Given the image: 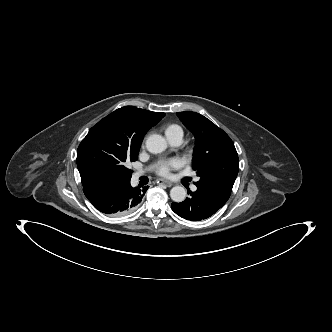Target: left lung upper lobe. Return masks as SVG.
<instances>
[{
  "instance_id": "left-lung-upper-lobe-1",
  "label": "left lung upper lobe",
  "mask_w": 332,
  "mask_h": 332,
  "mask_svg": "<svg viewBox=\"0 0 332 332\" xmlns=\"http://www.w3.org/2000/svg\"><path fill=\"white\" fill-rule=\"evenodd\" d=\"M177 116L196 139L193 169L200 177L194 184L226 203L239 170V159L229 136L203 115L178 112Z\"/></svg>"
}]
</instances>
